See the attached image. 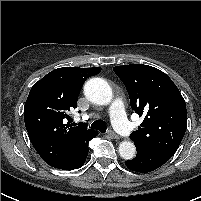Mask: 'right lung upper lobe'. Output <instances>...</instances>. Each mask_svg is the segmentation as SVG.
I'll list each match as a JSON object with an SVG mask.
<instances>
[{
  "mask_svg": "<svg viewBox=\"0 0 201 201\" xmlns=\"http://www.w3.org/2000/svg\"><path fill=\"white\" fill-rule=\"evenodd\" d=\"M100 67L58 68L33 85L24 107L29 138L50 166L62 169L73 164L89 140L98 135L85 124L74 127L68 111L77 107V99L87 78Z\"/></svg>",
  "mask_w": 201,
  "mask_h": 201,
  "instance_id": "1",
  "label": "right lung upper lobe"
}]
</instances>
